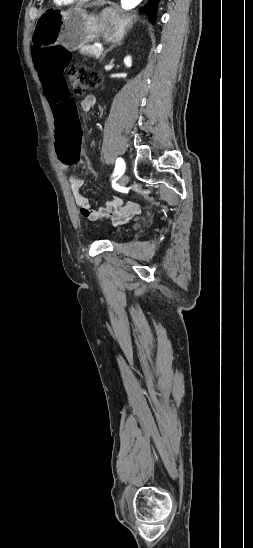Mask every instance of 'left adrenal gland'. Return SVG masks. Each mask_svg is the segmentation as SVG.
<instances>
[{"label": "left adrenal gland", "mask_w": 253, "mask_h": 548, "mask_svg": "<svg viewBox=\"0 0 253 548\" xmlns=\"http://www.w3.org/2000/svg\"><path fill=\"white\" fill-rule=\"evenodd\" d=\"M120 45H122L121 42L116 43V44H112V45L110 46V48L107 49V50L104 52V54L102 55V58H101L100 61H102V60L105 58L106 54H107L109 51H111L113 48H115V47H117V46H120Z\"/></svg>", "instance_id": "obj_1"}]
</instances>
